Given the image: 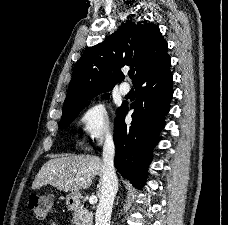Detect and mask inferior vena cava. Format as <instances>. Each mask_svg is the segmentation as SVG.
Segmentation results:
<instances>
[{
	"instance_id": "602c4592",
	"label": "inferior vena cava",
	"mask_w": 228,
	"mask_h": 225,
	"mask_svg": "<svg viewBox=\"0 0 228 225\" xmlns=\"http://www.w3.org/2000/svg\"><path fill=\"white\" fill-rule=\"evenodd\" d=\"M115 147L111 135L103 147L104 173L100 183L99 205L95 213V225H110L113 201L118 191V179L114 169Z\"/></svg>"
}]
</instances>
